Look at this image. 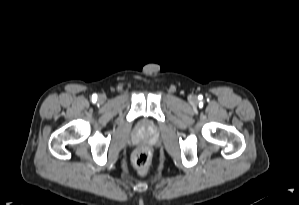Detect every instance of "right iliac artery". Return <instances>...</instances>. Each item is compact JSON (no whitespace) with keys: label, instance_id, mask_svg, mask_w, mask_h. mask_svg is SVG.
I'll return each mask as SVG.
<instances>
[{"label":"right iliac artery","instance_id":"1","mask_svg":"<svg viewBox=\"0 0 299 205\" xmlns=\"http://www.w3.org/2000/svg\"><path fill=\"white\" fill-rule=\"evenodd\" d=\"M92 99L95 101V100L97 99V95L94 94V95L92 96Z\"/></svg>","mask_w":299,"mask_h":205}]
</instances>
